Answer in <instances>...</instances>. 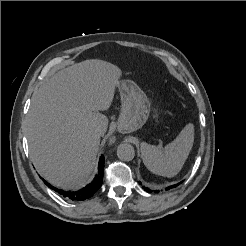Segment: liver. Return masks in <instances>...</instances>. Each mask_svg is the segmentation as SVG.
Listing matches in <instances>:
<instances>
[{"mask_svg":"<svg viewBox=\"0 0 246 246\" xmlns=\"http://www.w3.org/2000/svg\"><path fill=\"white\" fill-rule=\"evenodd\" d=\"M121 76L117 66L91 59L58 71L34 92L25 122L30 157L54 186L88 183L100 144L94 129L106 132L100 111L110 107Z\"/></svg>","mask_w":246,"mask_h":246,"instance_id":"1","label":"liver"}]
</instances>
